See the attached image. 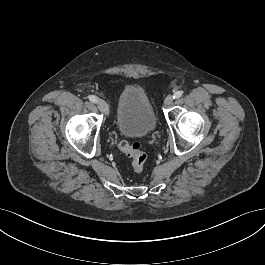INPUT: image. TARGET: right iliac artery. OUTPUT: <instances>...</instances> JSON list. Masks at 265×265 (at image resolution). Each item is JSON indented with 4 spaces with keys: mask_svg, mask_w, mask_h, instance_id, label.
Returning a JSON list of instances; mask_svg holds the SVG:
<instances>
[{
    "mask_svg": "<svg viewBox=\"0 0 265 265\" xmlns=\"http://www.w3.org/2000/svg\"><path fill=\"white\" fill-rule=\"evenodd\" d=\"M88 98H89V100H90L91 102H93V103H96V102H97V97L94 96V95H90Z\"/></svg>",
    "mask_w": 265,
    "mask_h": 265,
    "instance_id": "right-iliac-artery-1",
    "label": "right iliac artery"
}]
</instances>
